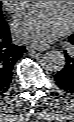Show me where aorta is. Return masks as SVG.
<instances>
[{
  "label": "aorta",
  "instance_id": "762f6f07",
  "mask_svg": "<svg viewBox=\"0 0 74 122\" xmlns=\"http://www.w3.org/2000/svg\"><path fill=\"white\" fill-rule=\"evenodd\" d=\"M66 65V58L61 51L51 50L44 54L43 66L51 72H59Z\"/></svg>",
  "mask_w": 74,
  "mask_h": 122
}]
</instances>
